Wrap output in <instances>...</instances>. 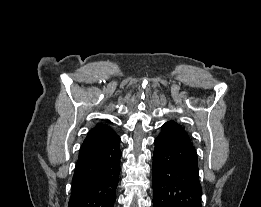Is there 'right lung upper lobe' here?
Instances as JSON below:
<instances>
[{"mask_svg": "<svg viewBox=\"0 0 261 207\" xmlns=\"http://www.w3.org/2000/svg\"><path fill=\"white\" fill-rule=\"evenodd\" d=\"M106 122L109 121L106 120ZM115 137H117V134L107 124L98 123L88 132L80 150L105 143Z\"/></svg>", "mask_w": 261, "mask_h": 207, "instance_id": "cb5924a9", "label": "right lung upper lobe"}]
</instances>
